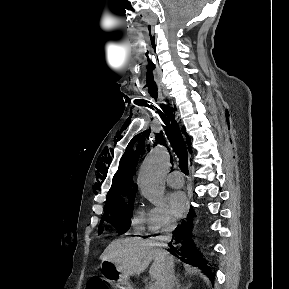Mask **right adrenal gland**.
I'll use <instances>...</instances> for the list:
<instances>
[{"instance_id":"obj_1","label":"right adrenal gland","mask_w":289,"mask_h":289,"mask_svg":"<svg viewBox=\"0 0 289 289\" xmlns=\"http://www.w3.org/2000/svg\"><path fill=\"white\" fill-rule=\"evenodd\" d=\"M187 286H189V285H187ZM174 287H175L174 289H187V287H182V285L180 284V280H179L178 276L174 278Z\"/></svg>"}]
</instances>
